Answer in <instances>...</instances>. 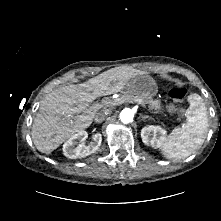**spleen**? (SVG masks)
I'll use <instances>...</instances> for the list:
<instances>
[{"label": "spleen", "instance_id": "spleen-1", "mask_svg": "<svg viewBox=\"0 0 221 221\" xmlns=\"http://www.w3.org/2000/svg\"><path fill=\"white\" fill-rule=\"evenodd\" d=\"M189 108L186 122L176 127L162 144V154L167 159H183L190 156L204 143L208 132V113L203 99L196 93L187 98Z\"/></svg>", "mask_w": 221, "mask_h": 221}]
</instances>
